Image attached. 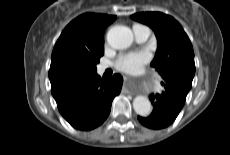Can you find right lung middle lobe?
<instances>
[{"label": "right lung middle lobe", "mask_w": 230, "mask_h": 155, "mask_svg": "<svg viewBox=\"0 0 230 155\" xmlns=\"http://www.w3.org/2000/svg\"><path fill=\"white\" fill-rule=\"evenodd\" d=\"M101 56L90 59H67L58 64L53 77L69 78L96 73V65Z\"/></svg>", "instance_id": "obj_1"}]
</instances>
